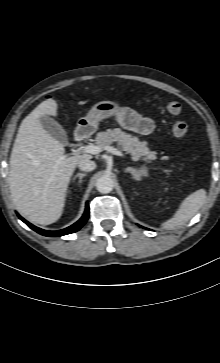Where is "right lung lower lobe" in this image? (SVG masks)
Returning <instances> with one entry per match:
<instances>
[{
    "label": "right lung lower lobe",
    "instance_id": "1",
    "mask_svg": "<svg viewBox=\"0 0 220 363\" xmlns=\"http://www.w3.org/2000/svg\"><path fill=\"white\" fill-rule=\"evenodd\" d=\"M88 216H89V205L87 204L83 216L75 224H73V225H71V226H69V227H67L65 229L59 230V231H47V230L40 229V228L30 224L25 219H23L20 215H18V217L24 223H26L31 229H33L34 231L38 232L41 235L49 236V237L63 236V235H67V234L74 233V232L78 231L85 224V222L88 219Z\"/></svg>",
    "mask_w": 220,
    "mask_h": 363
}]
</instances>
